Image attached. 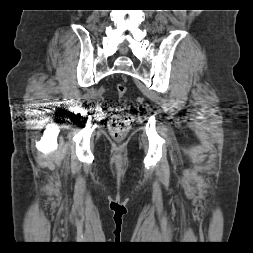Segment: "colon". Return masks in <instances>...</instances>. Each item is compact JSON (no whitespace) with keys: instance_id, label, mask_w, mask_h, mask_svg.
<instances>
[{"instance_id":"obj_1","label":"colon","mask_w":253,"mask_h":253,"mask_svg":"<svg viewBox=\"0 0 253 253\" xmlns=\"http://www.w3.org/2000/svg\"><path fill=\"white\" fill-rule=\"evenodd\" d=\"M116 93L118 97L122 98L127 93V88L124 84L118 83L116 85ZM134 117L130 108H121L114 114L109 121V130L111 136L115 140H122L128 133Z\"/></svg>"}]
</instances>
